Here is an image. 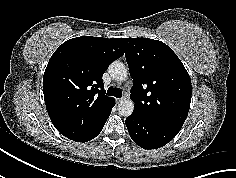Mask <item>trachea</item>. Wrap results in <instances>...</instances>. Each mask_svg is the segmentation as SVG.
Wrapping results in <instances>:
<instances>
[{
    "label": "trachea",
    "mask_w": 236,
    "mask_h": 178,
    "mask_svg": "<svg viewBox=\"0 0 236 178\" xmlns=\"http://www.w3.org/2000/svg\"><path fill=\"white\" fill-rule=\"evenodd\" d=\"M107 95L108 96H114L116 98H121L122 97V91L118 88H114L113 86H111L107 90Z\"/></svg>",
    "instance_id": "3493384b"
}]
</instances>
